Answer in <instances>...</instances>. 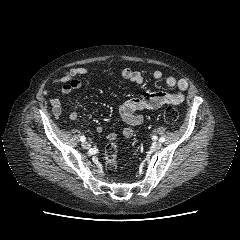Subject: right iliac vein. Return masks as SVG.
I'll list each match as a JSON object with an SVG mask.
<instances>
[{
	"label": "right iliac vein",
	"mask_w": 240,
	"mask_h": 240,
	"mask_svg": "<svg viewBox=\"0 0 240 240\" xmlns=\"http://www.w3.org/2000/svg\"><path fill=\"white\" fill-rule=\"evenodd\" d=\"M82 147H83L84 149H89V148L91 147V144H90L89 142H83V143H82Z\"/></svg>",
	"instance_id": "right-iliac-vein-1"
}]
</instances>
